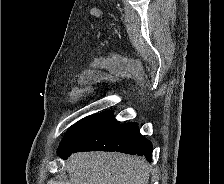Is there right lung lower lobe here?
Wrapping results in <instances>:
<instances>
[{
	"label": "right lung lower lobe",
	"instance_id": "98d812e1",
	"mask_svg": "<svg viewBox=\"0 0 224 184\" xmlns=\"http://www.w3.org/2000/svg\"><path fill=\"white\" fill-rule=\"evenodd\" d=\"M79 151H117L146 156L152 161V143L139 132L137 123H120L113 114L103 123L68 146H59L58 155L66 159Z\"/></svg>",
	"mask_w": 224,
	"mask_h": 184
}]
</instances>
